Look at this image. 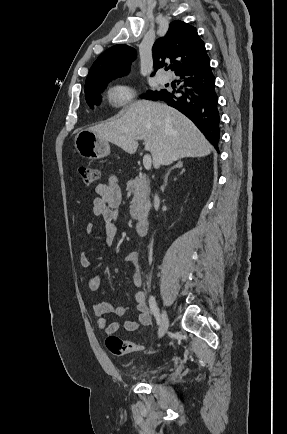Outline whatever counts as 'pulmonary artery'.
Here are the masks:
<instances>
[{
	"label": "pulmonary artery",
	"instance_id": "1",
	"mask_svg": "<svg viewBox=\"0 0 287 434\" xmlns=\"http://www.w3.org/2000/svg\"><path fill=\"white\" fill-rule=\"evenodd\" d=\"M157 80L161 84L168 83L170 81V76L166 73L159 74Z\"/></svg>",
	"mask_w": 287,
	"mask_h": 434
}]
</instances>
